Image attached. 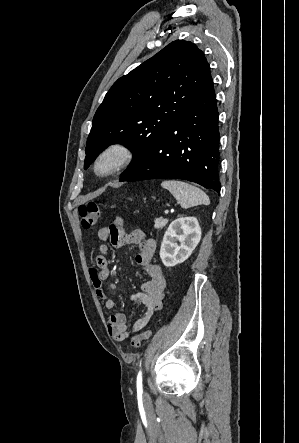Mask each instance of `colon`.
Wrapping results in <instances>:
<instances>
[{
	"instance_id": "colon-1",
	"label": "colon",
	"mask_w": 299,
	"mask_h": 443,
	"mask_svg": "<svg viewBox=\"0 0 299 443\" xmlns=\"http://www.w3.org/2000/svg\"><path fill=\"white\" fill-rule=\"evenodd\" d=\"M79 214L82 218V225L84 228H91L98 223L100 210L96 203L88 202L79 206ZM151 336L150 330H145L131 339V347L138 349L142 343Z\"/></svg>"
}]
</instances>
